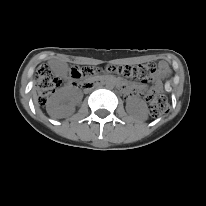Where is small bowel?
I'll use <instances>...</instances> for the list:
<instances>
[{
  "mask_svg": "<svg viewBox=\"0 0 206 206\" xmlns=\"http://www.w3.org/2000/svg\"><path fill=\"white\" fill-rule=\"evenodd\" d=\"M168 71V66L165 62H161L160 66H159V70L157 73V77H159L160 75L165 74Z\"/></svg>",
  "mask_w": 206,
  "mask_h": 206,
  "instance_id": "1",
  "label": "small bowel"
}]
</instances>
